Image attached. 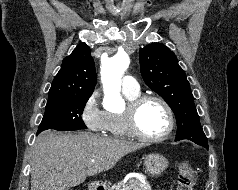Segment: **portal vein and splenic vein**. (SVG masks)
<instances>
[{"instance_id": "18ae733b", "label": "portal vein and splenic vein", "mask_w": 238, "mask_h": 190, "mask_svg": "<svg viewBox=\"0 0 238 190\" xmlns=\"http://www.w3.org/2000/svg\"><path fill=\"white\" fill-rule=\"evenodd\" d=\"M130 187L124 188L123 190H129Z\"/></svg>"}]
</instances>
